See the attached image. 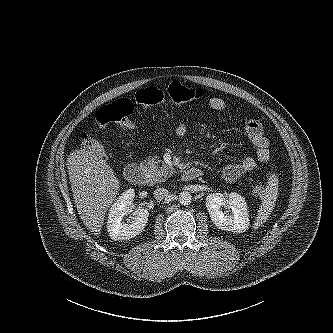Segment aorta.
I'll use <instances>...</instances> for the list:
<instances>
[{
	"label": "aorta",
	"instance_id": "1",
	"mask_svg": "<svg viewBox=\"0 0 333 333\" xmlns=\"http://www.w3.org/2000/svg\"><path fill=\"white\" fill-rule=\"evenodd\" d=\"M178 201L181 205L187 206L192 202V196L188 191H183L179 194Z\"/></svg>",
	"mask_w": 333,
	"mask_h": 333
}]
</instances>
